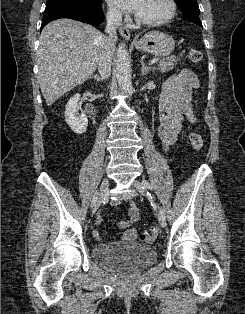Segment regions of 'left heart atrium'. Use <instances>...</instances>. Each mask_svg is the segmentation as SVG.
I'll return each instance as SVG.
<instances>
[{
    "instance_id": "left-heart-atrium-1",
    "label": "left heart atrium",
    "mask_w": 245,
    "mask_h": 314,
    "mask_svg": "<svg viewBox=\"0 0 245 314\" xmlns=\"http://www.w3.org/2000/svg\"><path fill=\"white\" fill-rule=\"evenodd\" d=\"M107 2L117 10L138 14L145 0H107Z\"/></svg>"
}]
</instances>
